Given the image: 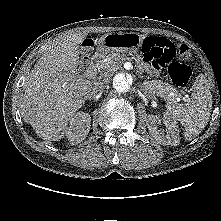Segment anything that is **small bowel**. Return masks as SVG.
<instances>
[{"mask_svg": "<svg viewBox=\"0 0 221 221\" xmlns=\"http://www.w3.org/2000/svg\"><path fill=\"white\" fill-rule=\"evenodd\" d=\"M152 38H154L156 40L166 39V38H163V37H152ZM141 65H142V67H144L148 71H152L153 68H155L150 62L146 61L145 57H144L143 61L141 62Z\"/></svg>", "mask_w": 221, "mask_h": 221, "instance_id": "small-bowel-1", "label": "small bowel"}]
</instances>
